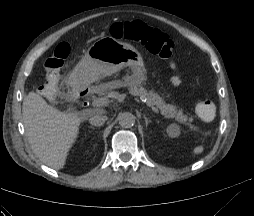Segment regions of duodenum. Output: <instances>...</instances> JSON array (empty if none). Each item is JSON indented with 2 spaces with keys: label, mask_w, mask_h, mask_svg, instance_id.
I'll use <instances>...</instances> for the list:
<instances>
[{
  "label": "duodenum",
  "mask_w": 254,
  "mask_h": 216,
  "mask_svg": "<svg viewBox=\"0 0 254 216\" xmlns=\"http://www.w3.org/2000/svg\"><path fill=\"white\" fill-rule=\"evenodd\" d=\"M86 96H87V90L80 91V92L77 94V97L80 98V99H84Z\"/></svg>",
  "instance_id": "410a0bca"
}]
</instances>
